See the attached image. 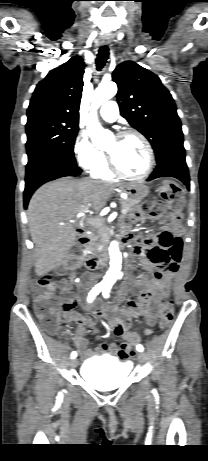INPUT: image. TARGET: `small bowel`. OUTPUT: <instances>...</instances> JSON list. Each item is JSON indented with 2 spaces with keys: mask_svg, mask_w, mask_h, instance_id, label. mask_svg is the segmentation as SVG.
I'll return each mask as SVG.
<instances>
[{
  "mask_svg": "<svg viewBox=\"0 0 208 461\" xmlns=\"http://www.w3.org/2000/svg\"><path fill=\"white\" fill-rule=\"evenodd\" d=\"M131 210V214H122L121 219L124 227H128L130 221L137 222L139 217H144L145 209ZM173 229H158L150 237H142L141 241L135 246V253L140 256L139 267L133 276H127L118 288L116 298L124 299L128 294L127 307L115 311V308L101 302H83L87 309L86 314H80L72 309H77L81 303L82 296L76 295L75 291H70L71 284L67 280H74L80 264L77 263V256H68V263L62 264V269L66 271L64 280L60 283V299L62 301L63 313H59L58 318L61 324L68 321L76 324V330L64 329L63 334L69 335L81 355L90 358L104 352L119 359H128L130 356L121 352L114 343H106L95 349L88 347L86 339L87 328L96 330L97 321L101 317L108 319V325L115 335L122 336L125 340H139L140 337L135 331L130 330L131 320L143 317L145 321L152 325L157 320L158 302L168 294V290L174 278L180 270V263H184L186 255V242L182 231L177 223H172ZM151 245L153 250L165 251H142L140 245ZM144 268L150 271L145 274L141 271Z\"/></svg>",
  "mask_w": 208,
  "mask_h": 461,
  "instance_id": "1",
  "label": "small bowel"
}]
</instances>
